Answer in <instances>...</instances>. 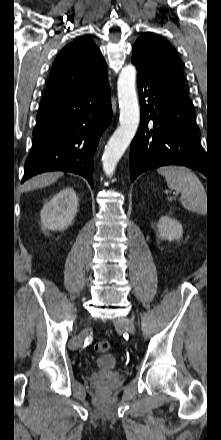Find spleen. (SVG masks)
Instances as JSON below:
<instances>
[{
    "label": "spleen",
    "instance_id": "1",
    "mask_svg": "<svg viewBox=\"0 0 221 440\" xmlns=\"http://www.w3.org/2000/svg\"><path fill=\"white\" fill-rule=\"evenodd\" d=\"M158 173L166 179L167 185L181 193L180 201L189 211L206 213V191L197 175L189 168L182 166H163ZM168 197V200H172Z\"/></svg>",
    "mask_w": 221,
    "mask_h": 440
}]
</instances>
